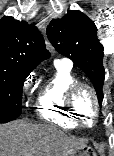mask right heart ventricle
<instances>
[{
  "label": "right heart ventricle",
  "mask_w": 114,
  "mask_h": 156,
  "mask_svg": "<svg viewBox=\"0 0 114 156\" xmlns=\"http://www.w3.org/2000/svg\"><path fill=\"white\" fill-rule=\"evenodd\" d=\"M71 66L55 63L52 76L43 84L36 99L38 114L46 121L65 129H73L78 122L67 107L69 89L78 83Z\"/></svg>",
  "instance_id": "e07e8e85"
}]
</instances>
